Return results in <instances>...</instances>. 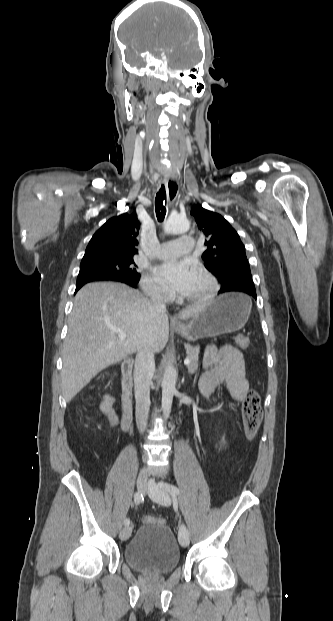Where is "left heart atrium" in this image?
Returning a JSON list of instances; mask_svg holds the SVG:
<instances>
[{
  "instance_id": "obj_1",
  "label": "left heart atrium",
  "mask_w": 333,
  "mask_h": 621,
  "mask_svg": "<svg viewBox=\"0 0 333 621\" xmlns=\"http://www.w3.org/2000/svg\"><path fill=\"white\" fill-rule=\"evenodd\" d=\"M155 273L169 289L181 294L192 281L195 270L185 261L169 260L159 265Z\"/></svg>"
}]
</instances>
